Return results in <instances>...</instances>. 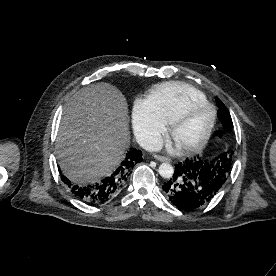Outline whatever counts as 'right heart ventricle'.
I'll return each mask as SVG.
<instances>
[{
    "label": "right heart ventricle",
    "instance_id": "1",
    "mask_svg": "<svg viewBox=\"0 0 276 276\" xmlns=\"http://www.w3.org/2000/svg\"><path fill=\"white\" fill-rule=\"evenodd\" d=\"M193 99H206L203 93L183 82L171 81L154 87L147 102L154 113L165 123L171 119Z\"/></svg>",
    "mask_w": 276,
    "mask_h": 276
}]
</instances>
